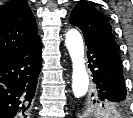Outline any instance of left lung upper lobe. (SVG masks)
Here are the masks:
<instances>
[{
	"mask_svg": "<svg viewBox=\"0 0 133 118\" xmlns=\"http://www.w3.org/2000/svg\"><path fill=\"white\" fill-rule=\"evenodd\" d=\"M70 23L81 29L84 38L118 52L112 27L105 16L86 2L79 3L72 11ZM93 96V93H92ZM82 103L83 116L94 113H110L122 110L126 103L98 102L96 97Z\"/></svg>",
	"mask_w": 133,
	"mask_h": 118,
	"instance_id": "5c2ea615",
	"label": "left lung upper lobe"
}]
</instances>
